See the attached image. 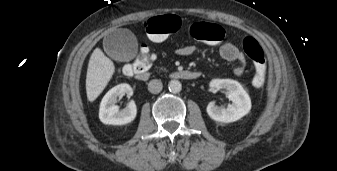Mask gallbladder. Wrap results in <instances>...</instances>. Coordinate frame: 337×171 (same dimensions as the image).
<instances>
[{
    "label": "gallbladder",
    "instance_id": "obj_1",
    "mask_svg": "<svg viewBox=\"0 0 337 171\" xmlns=\"http://www.w3.org/2000/svg\"><path fill=\"white\" fill-rule=\"evenodd\" d=\"M106 53L116 61H129L137 53V41L131 31L117 29L103 40Z\"/></svg>",
    "mask_w": 337,
    "mask_h": 171
}]
</instances>
